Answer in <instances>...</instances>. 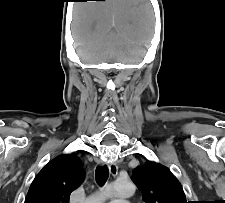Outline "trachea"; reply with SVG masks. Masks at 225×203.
<instances>
[{
  "label": "trachea",
  "instance_id": "3493384b",
  "mask_svg": "<svg viewBox=\"0 0 225 203\" xmlns=\"http://www.w3.org/2000/svg\"><path fill=\"white\" fill-rule=\"evenodd\" d=\"M109 177V170L106 165L99 166L95 171V178L100 186H103Z\"/></svg>",
  "mask_w": 225,
  "mask_h": 203
}]
</instances>
